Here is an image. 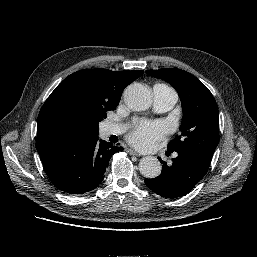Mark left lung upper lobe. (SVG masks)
<instances>
[{"label": "left lung upper lobe", "mask_w": 257, "mask_h": 257, "mask_svg": "<svg viewBox=\"0 0 257 257\" xmlns=\"http://www.w3.org/2000/svg\"><path fill=\"white\" fill-rule=\"evenodd\" d=\"M146 72L170 83L180 94L183 109L181 133L170 141L168 150L198 149L213 155L219 142V114L209 89L181 69L164 68Z\"/></svg>", "instance_id": "obj_1"}]
</instances>
